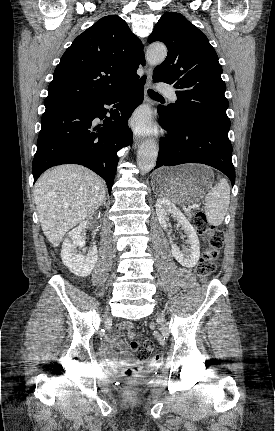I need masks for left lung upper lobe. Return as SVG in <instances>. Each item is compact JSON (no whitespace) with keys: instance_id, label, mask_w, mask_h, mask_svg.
I'll return each instance as SVG.
<instances>
[{"instance_id":"1","label":"left lung upper lobe","mask_w":275,"mask_h":431,"mask_svg":"<svg viewBox=\"0 0 275 431\" xmlns=\"http://www.w3.org/2000/svg\"><path fill=\"white\" fill-rule=\"evenodd\" d=\"M149 43L163 42L165 61L154 69L153 79L172 84L175 104L162 106L175 118L230 127L222 67L208 38L182 14L166 12L155 25Z\"/></svg>"}]
</instances>
